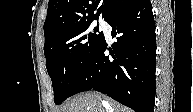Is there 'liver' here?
<instances>
[{"mask_svg": "<svg viewBox=\"0 0 193 112\" xmlns=\"http://www.w3.org/2000/svg\"><path fill=\"white\" fill-rule=\"evenodd\" d=\"M58 112H131L122 105L103 100L99 93H81L61 105Z\"/></svg>", "mask_w": 193, "mask_h": 112, "instance_id": "obj_1", "label": "liver"}]
</instances>
